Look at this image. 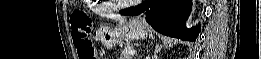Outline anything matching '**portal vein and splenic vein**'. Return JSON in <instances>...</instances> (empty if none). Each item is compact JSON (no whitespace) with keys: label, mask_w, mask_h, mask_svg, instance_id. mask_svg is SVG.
Returning a JSON list of instances; mask_svg holds the SVG:
<instances>
[{"label":"portal vein and splenic vein","mask_w":261,"mask_h":59,"mask_svg":"<svg viewBox=\"0 0 261 59\" xmlns=\"http://www.w3.org/2000/svg\"><path fill=\"white\" fill-rule=\"evenodd\" d=\"M129 54H130V55H134V54H136V51H135V50H131V51L129 52Z\"/></svg>","instance_id":"obj_1"}]
</instances>
